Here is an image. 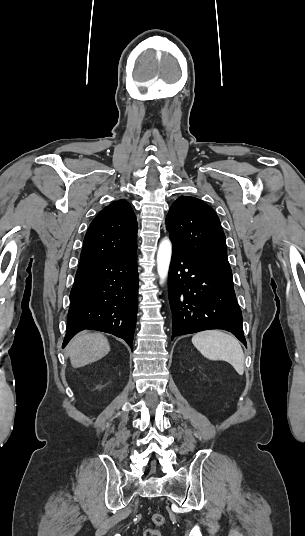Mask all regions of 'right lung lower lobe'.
Listing matches in <instances>:
<instances>
[{
    "label": "right lung lower lobe",
    "instance_id": "98d812e1",
    "mask_svg": "<svg viewBox=\"0 0 305 536\" xmlns=\"http://www.w3.org/2000/svg\"><path fill=\"white\" fill-rule=\"evenodd\" d=\"M137 308L136 251L79 266L63 347L77 332L94 329L120 337L132 348Z\"/></svg>",
    "mask_w": 305,
    "mask_h": 536
}]
</instances>
